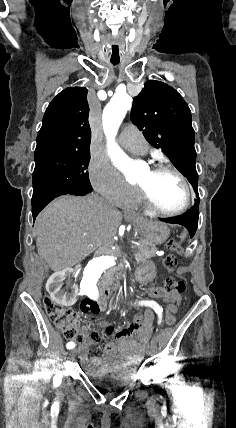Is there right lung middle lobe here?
<instances>
[{"label":"right lung middle lobe","instance_id":"1","mask_svg":"<svg viewBox=\"0 0 236 428\" xmlns=\"http://www.w3.org/2000/svg\"><path fill=\"white\" fill-rule=\"evenodd\" d=\"M90 151H35L33 197L67 189H92L88 164Z\"/></svg>","mask_w":236,"mask_h":428}]
</instances>
